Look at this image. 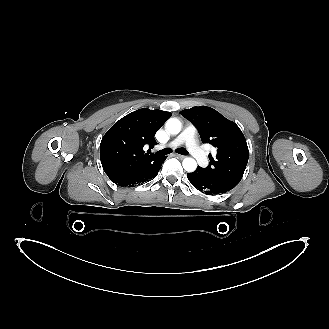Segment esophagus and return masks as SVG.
<instances>
[{"label": "esophagus", "mask_w": 329, "mask_h": 329, "mask_svg": "<svg viewBox=\"0 0 329 329\" xmlns=\"http://www.w3.org/2000/svg\"><path fill=\"white\" fill-rule=\"evenodd\" d=\"M175 156H176L178 159H184V158H185L184 155H180V154H176Z\"/></svg>", "instance_id": "1"}]
</instances>
